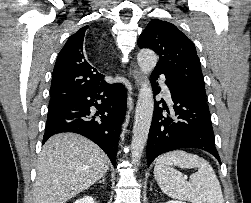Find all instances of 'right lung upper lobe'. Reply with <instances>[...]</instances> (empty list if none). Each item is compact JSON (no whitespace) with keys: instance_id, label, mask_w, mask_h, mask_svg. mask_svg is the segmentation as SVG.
Instances as JSON below:
<instances>
[{"instance_id":"obj_1","label":"right lung upper lobe","mask_w":251,"mask_h":203,"mask_svg":"<svg viewBox=\"0 0 251 203\" xmlns=\"http://www.w3.org/2000/svg\"><path fill=\"white\" fill-rule=\"evenodd\" d=\"M88 26L73 34L60 51L51 82L49 107L67 101L84 89L106 83L104 75L91 66L83 50Z\"/></svg>"}]
</instances>
